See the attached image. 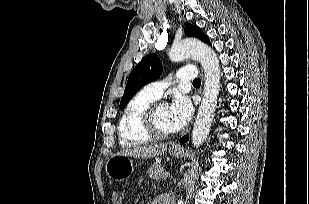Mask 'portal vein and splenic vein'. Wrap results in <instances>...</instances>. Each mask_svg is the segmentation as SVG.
Masks as SVG:
<instances>
[{
	"instance_id": "portal-vein-and-splenic-vein-1",
	"label": "portal vein and splenic vein",
	"mask_w": 309,
	"mask_h": 204,
	"mask_svg": "<svg viewBox=\"0 0 309 204\" xmlns=\"http://www.w3.org/2000/svg\"><path fill=\"white\" fill-rule=\"evenodd\" d=\"M165 176H170V173L169 172H165Z\"/></svg>"
}]
</instances>
